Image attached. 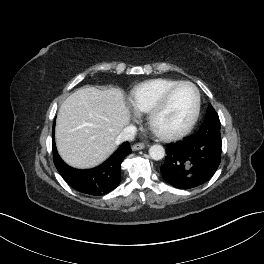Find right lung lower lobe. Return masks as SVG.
<instances>
[{
  "instance_id": "1",
  "label": "right lung lower lobe",
  "mask_w": 264,
  "mask_h": 264,
  "mask_svg": "<svg viewBox=\"0 0 264 264\" xmlns=\"http://www.w3.org/2000/svg\"><path fill=\"white\" fill-rule=\"evenodd\" d=\"M52 141L54 164L61 176L75 190L95 196L107 194L119 185L121 163L132 152L130 144L125 142L102 165L89 170H78L67 165L58 155L55 147L54 130L52 131Z\"/></svg>"
}]
</instances>
